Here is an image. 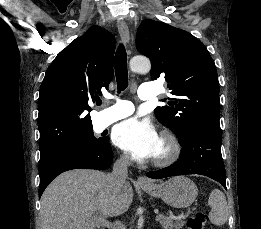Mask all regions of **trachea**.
I'll return each mask as SVG.
<instances>
[{
	"mask_svg": "<svg viewBox=\"0 0 261 229\" xmlns=\"http://www.w3.org/2000/svg\"><path fill=\"white\" fill-rule=\"evenodd\" d=\"M115 75L117 79L118 93L125 90L128 86V67H127V55L124 45H119L115 55ZM101 100L96 101L97 105H101Z\"/></svg>",
	"mask_w": 261,
	"mask_h": 229,
	"instance_id": "1",
	"label": "trachea"
}]
</instances>
